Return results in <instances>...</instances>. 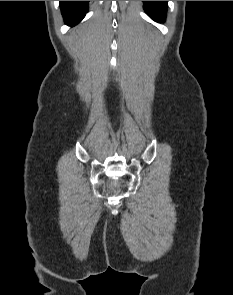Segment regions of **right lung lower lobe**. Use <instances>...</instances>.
<instances>
[{
  "label": "right lung lower lobe",
  "mask_w": 233,
  "mask_h": 295,
  "mask_svg": "<svg viewBox=\"0 0 233 295\" xmlns=\"http://www.w3.org/2000/svg\"><path fill=\"white\" fill-rule=\"evenodd\" d=\"M65 23L75 25L80 22L88 11L89 1H59Z\"/></svg>",
  "instance_id": "right-lung-lower-lobe-1"
}]
</instances>
